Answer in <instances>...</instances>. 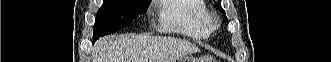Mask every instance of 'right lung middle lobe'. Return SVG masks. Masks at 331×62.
Listing matches in <instances>:
<instances>
[{
	"instance_id": "obj_1",
	"label": "right lung middle lobe",
	"mask_w": 331,
	"mask_h": 62,
	"mask_svg": "<svg viewBox=\"0 0 331 62\" xmlns=\"http://www.w3.org/2000/svg\"><path fill=\"white\" fill-rule=\"evenodd\" d=\"M149 4L148 0H103L94 24L93 41L128 26L146 12Z\"/></svg>"
}]
</instances>
